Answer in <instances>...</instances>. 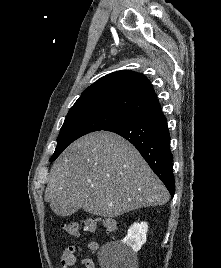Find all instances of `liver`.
Here are the masks:
<instances>
[{
	"instance_id": "obj_1",
	"label": "liver",
	"mask_w": 221,
	"mask_h": 268,
	"mask_svg": "<svg viewBox=\"0 0 221 268\" xmlns=\"http://www.w3.org/2000/svg\"><path fill=\"white\" fill-rule=\"evenodd\" d=\"M168 200L164 184L137 149L107 131L69 145L53 164L45 191V201L61 216L83 208L112 218Z\"/></svg>"
}]
</instances>
